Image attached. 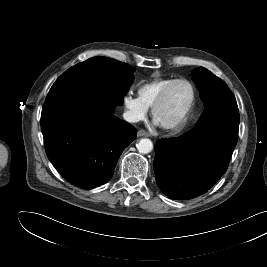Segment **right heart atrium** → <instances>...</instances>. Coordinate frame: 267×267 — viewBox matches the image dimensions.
Segmentation results:
<instances>
[{
	"mask_svg": "<svg viewBox=\"0 0 267 267\" xmlns=\"http://www.w3.org/2000/svg\"><path fill=\"white\" fill-rule=\"evenodd\" d=\"M123 103L126 109L127 119L130 122H138L142 120L148 112V107L144 104L141 98L132 92H129L124 96Z\"/></svg>",
	"mask_w": 267,
	"mask_h": 267,
	"instance_id": "obj_1",
	"label": "right heart atrium"
}]
</instances>
